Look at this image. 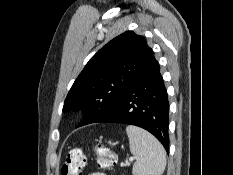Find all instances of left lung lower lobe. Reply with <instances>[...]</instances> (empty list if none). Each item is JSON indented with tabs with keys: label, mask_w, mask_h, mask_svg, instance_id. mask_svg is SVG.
<instances>
[{
	"label": "left lung lower lobe",
	"mask_w": 233,
	"mask_h": 175,
	"mask_svg": "<svg viewBox=\"0 0 233 175\" xmlns=\"http://www.w3.org/2000/svg\"><path fill=\"white\" fill-rule=\"evenodd\" d=\"M96 122L139 126L152 133L168 150L169 102L155 57L113 108Z\"/></svg>",
	"instance_id": "obj_1"
}]
</instances>
